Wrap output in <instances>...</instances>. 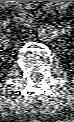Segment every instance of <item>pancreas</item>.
<instances>
[{
  "mask_svg": "<svg viewBox=\"0 0 74 122\" xmlns=\"http://www.w3.org/2000/svg\"><path fill=\"white\" fill-rule=\"evenodd\" d=\"M12 5L16 9H21V8H27V9H32L33 4L39 1H11Z\"/></svg>",
  "mask_w": 74,
  "mask_h": 122,
  "instance_id": "cf45deb5",
  "label": "pancreas"
}]
</instances>
